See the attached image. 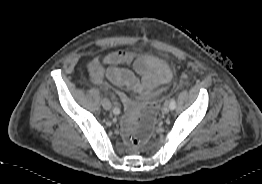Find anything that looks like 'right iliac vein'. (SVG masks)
<instances>
[{
	"instance_id": "1",
	"label": "right iliac vein",
	"mask_w": 262,
	"mask_h": 184,
	"mask_svg": "<svg viewBox=\"0 0 262 184\" xmlns=\"http://www.w3.org/2000/svg\"><path fill=\"white\" fill-rule=\"evenodd\" d=\"M102 106L105 110H110L111 109V102L108 99H103L102 100Z\"/></svg>"
}]
</instances>
